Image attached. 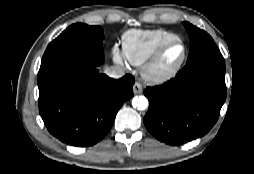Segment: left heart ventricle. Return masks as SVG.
I'll list each match as a JSON object with an SVG mask.
<instances>
[{
    "label": "left heart ventricle",
    "instance_id": "1",
    "mask_svg": "<svg viewBox=\"0 0 254 174\" xmlns=\"http://www.w3.org/2000/svg\"><path fill=\"white\" fill-rule=\"evenodd\" d=\"M183 47L181 44L176 43L170 46L163 54L160 61L161 69H168L175 65L182 57Z\"/></svg>",
    "mask_w": 254,
    "mask_h": 174
}]
</instances>
